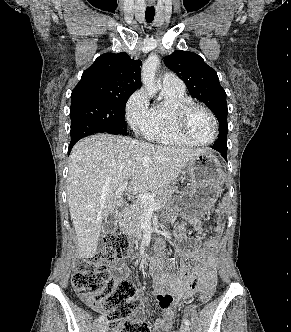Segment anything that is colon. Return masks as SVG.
Returning <instances> with one entry per match:
<instances>
[{
  "mask_svg": "<svg viewBox=\"0 0 291 332\" xmlns=\"http://www.w3.org/2000/svg\"><path fill=\"white\" fill-rule=\"evenodd\" d=\"M133 241L123 233L105 236L104 247L91 259L79 260L72 276V286L90 307L107 316L110 332H150L148 326L132 318L139 307L136 287L128 280H117L108 266L131 254ZM215 284L203 289L199 300L207 303L213 296Z\"/></svg>",
  "mask_w": 291,
  "mask_h": 332,
  "instance_id": "obj_1",
  "label": "colon"
}]
</instances>
